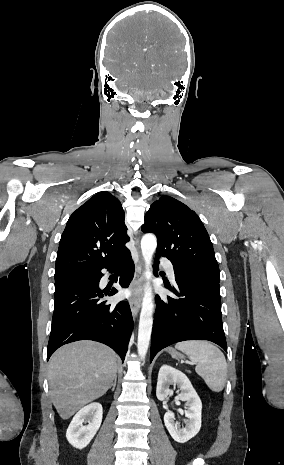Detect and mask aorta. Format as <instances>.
<instances>
[{
    "label": "aorta",
    "instance_id": "aorta-1",
    "mask_svg": "<svg viewBox=\"0 0 284 465\" xmlns=\"http://www.w3.org/2000/svg\"><path fill=\"white\" fill-rule=\"evenodd\" d=\"M156 247L157 240L153 234H145L142 237L141 251L145 262V278L148 283L144 291L138 329L137 349L141 359H144L147 354L152 332L154 302L149 280L153 276L151 264Z\"/></svg>",
    "mask_w": 284,
    "mask_h": 465
}]
</instances>
